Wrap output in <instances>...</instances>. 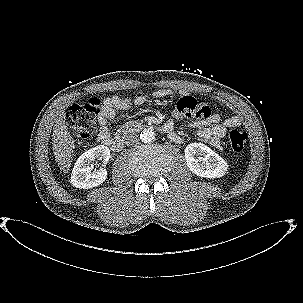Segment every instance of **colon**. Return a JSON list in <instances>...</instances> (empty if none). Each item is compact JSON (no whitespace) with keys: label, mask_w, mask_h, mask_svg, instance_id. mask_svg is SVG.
<instances>
[{"label":"colon","mask_w":303,"mask_h":303,"mask_svg":"<svg viewBox=\"0 0 303 303\" xmlns=\"http://www.w3.org/2000/svg\"><path fill=\"white\" fill-rule=\"evenodd\" d=\"M99 106V99L91 98L84 104H73L68 108L66 122L74 131L79 143H89L93 137ZM175 113L179 117L201 118L204 116L202 105L191 96H183L178 100ZM229 141L233 151L241 152L246 142V135L242 130L233 129L229 133Z\"/></svg>","instance_id":"colon-1"}]
</instances>
